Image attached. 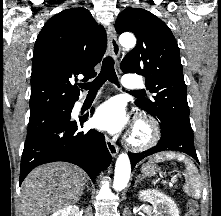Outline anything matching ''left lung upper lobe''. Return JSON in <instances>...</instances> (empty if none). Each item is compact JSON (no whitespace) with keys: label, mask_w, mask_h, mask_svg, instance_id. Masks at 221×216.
<instances>
[{"label":"left lung upper lobe","mask_w":221,"mask_h":216,"mask_svg":"<svg viewBox=\"0 0 221 216\" xmlns=\"http://www.w3.org/2000/svg\"><path fill=\"white\" fill-rule=\"evenodd\" d=\"M118 33L130 31L136 47L121 62L124 73L146 77L153 99L140 98L135 104L154 116L160 126L177 127L191 135L186 85L179 48L168 26L149 11L128 7L115 23Z\"/></svg>","instance_id":"obj_1"}]
</instances>
